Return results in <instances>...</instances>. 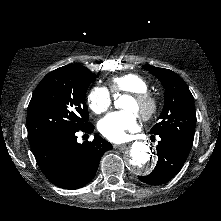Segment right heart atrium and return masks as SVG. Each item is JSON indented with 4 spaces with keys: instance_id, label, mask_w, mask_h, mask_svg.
Listing matches in <instances>:
<instances>
[{
    "instance_id": "d8ad5b80",
    "label": "right heart atrium",
    "mask_w": 221,
    "mask_h": 221,
    "mask_svg": "<svg viewBox=\"0 0 221 221\" xmlns=\"http://www.w3.org/2000/svg\"><path fill=\"white\" fill-rule=\"evenodd\" d=\"M112 95L106 87L95 86L87 95V104L95 114L106 112L112 105Z\"/></svg>"
}]
</instances>
